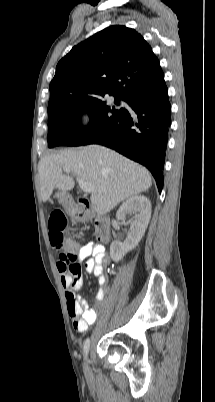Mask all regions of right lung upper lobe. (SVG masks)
I'll list each match as a JSON object with an SVG mask.
<instances>
[{
  "mask_svg": "<svg viewBox=\"0 0 215 402\" xmlns=\"http://www.w3.org/2000/svg\"><path fill=\"white\" fill-rule=\"evenodd\" d=\"M165 84L164 73L150 45L135 30L108 27L74 46L56 67L50 100L131 94Z\"/></svg>",
  "mask_w": 215,
  "mask_h": 402,
  "instance_id": "right-lung-upper-lobe-1",
  "label": "right lung upper lobe"
}]
</instances>
